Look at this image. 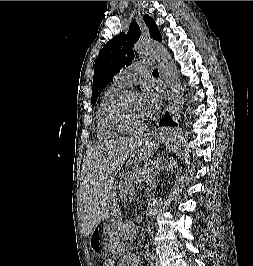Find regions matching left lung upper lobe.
Segmentation results:
<instances>
[{"label": "left lung upper lobe", "instance_id": "obj_1", "mask_svg": "<svg viewBox=\"0 0 253 266\" xmlns=\"http://www.w3.org/2000/svg\"><path fill=\"white\" fill-rule=\"evenodd\" d=\"M143 19L149 28L151 38L162 41L161 34L154 20L149 15H145ZM140 32L138 24L133 21L127 33L121 32L104 45L95 62L92 104L113 77L122 68L129 65L134 55L132 47L139 39Z\"/></svg>", "mask_w": 253, "mask_h": 266}]
</instances>
